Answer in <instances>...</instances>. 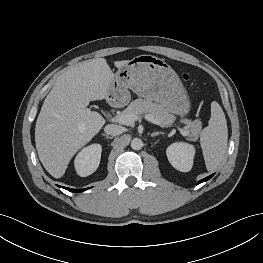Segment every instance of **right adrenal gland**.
<instances>
[{
	"label": "right adrenal gland",
	"mask_w": 263,
	"mask_h": 263,
	"mask_svg": "<svg viewBox=\"0 0 263 263\" xmlns=\"http://www.w3.org/2000/svg\"><path fill=\"white\" fill-rule=\"evenodd\" d=\"M102 135L105 136L107 139H108V138H112V137H110L109 135L104 134V133H103Z\"/></svg>",
	"instance_id": "1"
}]
</instances>
